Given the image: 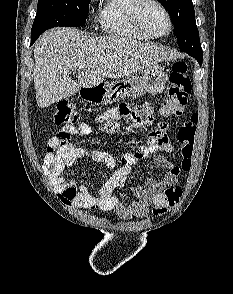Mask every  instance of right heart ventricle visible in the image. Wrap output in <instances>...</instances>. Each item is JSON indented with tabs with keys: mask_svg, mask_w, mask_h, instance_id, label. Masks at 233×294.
I'll return each instance as SVG.
<instances>
[{
	"mask_svg": "<svg viewBox=\"0 0 233 294\" xmlns=\"http://www.w3.org/2000/svg\"><path fill=\"white\" fill-rule=\"evenodd\" d=\"M137 0H105L98 14V22L106 34L132 40H148L134 25L133 7Z\"/></svg>",
	"mask_w": 233,
	"mask_h": 294,
	"instance_id": "right-heart-ventricle-1",
	"label": "right heart ventricle"
}]
</instances>
